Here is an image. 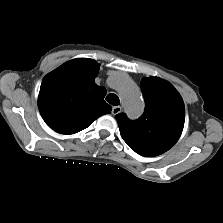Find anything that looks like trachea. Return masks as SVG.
I'll use <instances>...</instances> for the list:
<instances>
[{"label":"trachea","instance_id":"trachea-1","mask_svg":"<svg viewBox=\"0 0 223 223\" xmlns=\"http://www.w3.org/2000/svg\"><path fill=\"white\" fill-rule=\"evenodd\" d=\"M106 101L109 104L114 105V106H117L120 103L118 96L116 94H112V93L107 95Z\"/></svg>","mask_w":223,"mask_h":223}]
</instances>
